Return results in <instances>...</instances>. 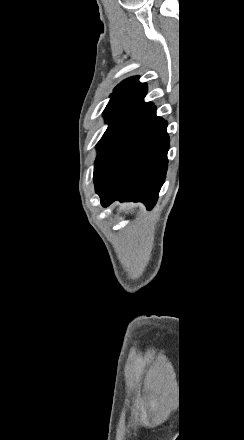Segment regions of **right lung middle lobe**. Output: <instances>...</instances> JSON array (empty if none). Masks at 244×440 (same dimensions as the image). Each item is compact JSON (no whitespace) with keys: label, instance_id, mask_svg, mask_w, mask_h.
<instances>
[{"label":"right lung middle lobe","instance_id":"right-lung-middle-lobe-1","mask_svg":"<svg viewBox=\"0 0 244 440\" xmlns=\"http://www.w3.org/2000/svg\"><path fill=\"white\" fill-rule=\"evenodd\" d=\"M139 99L122 98L111 99L105 108L103 115L105 120L109 123V127L104 133L103 137L97 144V149L100 150L104 141L111 133L116 124L139 102Z\"/></svg>","mask_w":244,"mask_h":440}]
</instances>
